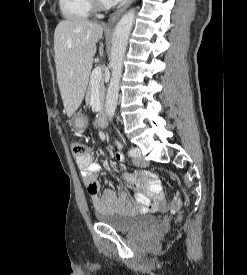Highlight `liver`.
Wrapping results in <instances>:
<instances>
[{"label":"liver","mask_w":247,"mask_h":275,"mask_svg":"<svg viewBox=\"0 0 247 275\" xmlns=\"http://www.w3.org/2000/svg\"><path fill=\"white\" fill-rule=\"evenodd\" d=\"M102 33V25L81 18H68L56 26L54 51L57 81L68 117L76 112L83 101L96 54V43ZM99 54L103 55V44L99 47Z\"/></svg>","instance_id":"obj_1"}]
</instances>
